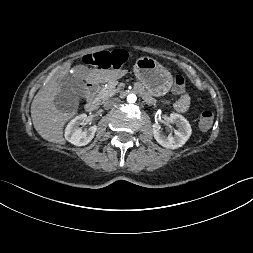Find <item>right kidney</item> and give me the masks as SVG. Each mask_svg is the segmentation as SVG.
I'll return each mask as SVG.
<instances>
[{"mask_svg":"<svg viewBox=\"0 0 253 253\" xmlns=\"http://www.w3.org/2000/svg\"><path fill=\"white\" fill-rule=\"evenodd\" d=\"M87 124V115L81 114L72 119L65 128V139L75 146H85L92 141L97 131V126H91L88 131L82 127Z\"/></svg>","mask_w":253,"mask_h":253,"instance_id":"right-kidney-1","label":"right kidney"}]
</instances>
